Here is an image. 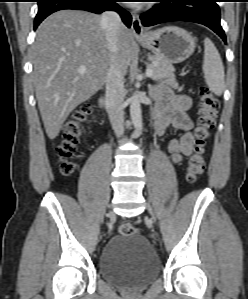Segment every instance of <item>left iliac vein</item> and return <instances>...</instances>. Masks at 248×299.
Instances as JSON below:
<instances>
[{
    "instance_id": "4c4485c4",
    "label": "left iliac vein",
    "mask_w": 248,
    "mask_h": 299,
    "mask_svg": "<svg viewBox=\"0 0 248 299\" xmlns=\"http://www.w3.org/2000/svg\"><path fill=\"white\" fill-rule=\"evenodd\" d=\"M147 208H148L150 214L152 215L153 219L155 220V216H154L153 209H152V207L150 206V204H148V203H147Z\"/></svg>"
}]
</instances>
